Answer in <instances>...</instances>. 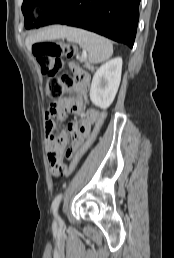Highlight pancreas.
<instances>
[{"label":"pancreas","mask_w":174,"mask_h":258,"mask_svg":"<svg viewBox=\"0 0 174 258\" xmlns=\"http://www.w3.org/2000/svg\"><path fill=\"white\" fill-rule=\"evenodd\" d=\"M79 61H80V62H85V63H86L85 67H86L87 69H89V70H91V71L94 70L93 66L90 65L89 63H87L86 58L81 57V58H79Z\"/></svg>","instance_id":"obj_1"}]
</instances>
